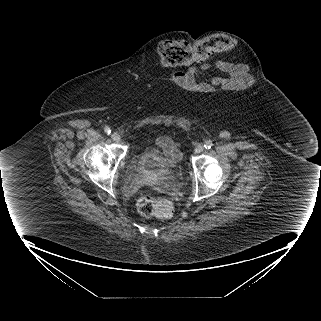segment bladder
Wrapping results in <instances>:
<instances>
[{
    "label": "bladder",
    "instance_id": "bladder-1",
    "mask_svg": "<svg viewBox=\"0 0 321 321\" xmlns=\"http://www.w3.org/2000/svg\"><path fill=\"white\" fill-rule=\"evenodd\" d=\"M179 166V161L171 164L162 153L156 149L143 151L134 164L135 175L153 181L168 174Z\"/></svg>",
    "mask_w": 321,
    "mask_h": 321
}]
</instances>
